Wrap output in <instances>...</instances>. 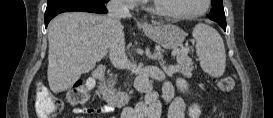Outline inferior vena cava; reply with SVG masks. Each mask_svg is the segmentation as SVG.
<instances>
[{
  "mask_svg": "<svg viewBox=\"0 0 273 118\" xmlns=\"http://www.w3.org/2000/svg\"><path fill=\"white\" fill-rule=\"evenodd\" d=\"M107 9L108 18L113 26V39L109 47L110 60L116 68L124 69L128 64V58L125 54V40L120 19L130 16V13L121 0H110Z\"/></svg>",
  "mask_w": 273,
  "mask_h": 118,
  "instance_id": "obj_1",
  "label": "inferior vena cava"
}]
</instances>
